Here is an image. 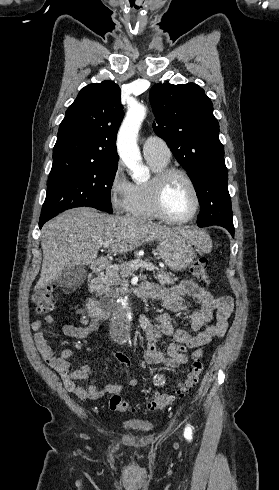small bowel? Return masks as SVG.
Returning a JSON list of instances; mask_svg holds the SVG:
<instances>
[{
	"instance_id": "1",
	"label": "small bowel",
	"mask_w": 279,
	"mask_h": 490,
	"mask_svg": "<svg viewBox=\"0 0 279 490\" xmlns=\"http://www.w3.org/2000/svg\"><path fill=\"white\" fill-rule=\"evenodd\" d=\"M141 292L161 302L163 307L176 314H181L190 321L191 329L177 328L176 321L170 313H160L150 318L147 315L139 316V326L145 334L146 350L142 365H164L176 367L188 361L196 359L202 354L203 348L213 339L222 338L229 327V317L233 311V301L228 296H213L210 292L200 287L191 280H183L170 288L155 284L141 286ZM187 300L197 305L196 309H190ZM214 315L216 321L212 323ZM54 317L44 315L41 319L32 322L31 329L34 332V340L39 353L44 361L51 366L61 377L67 391L81 399L98 400L108 394H118L127 387L138 384L133 378L124 383H110L98 389L97 378L92 369L87 365H79L74 371H70L69 360L74 355L70 349H63L59 355L53 352L50 341L45 337L43 326L52 324ZM66 336L77 340H86L94 337L99 332L98 321H92L85 326L66 324L62 327ZM162 335L173 336L175 342L171 343L166 354L157 348V340ZM191 349L192 353L187 354ZM115 357L126 369L131 367L130 360L121 353ZM78 381H89L84 388Z\"/></svg>"
}]
</instances>
